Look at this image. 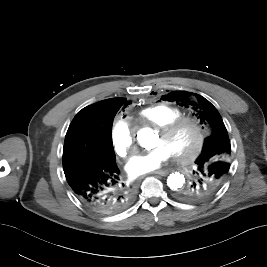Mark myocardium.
Listing matches in <instances>:
<instances>
[{
    "mask_svg": "<svg viewBox=\"0 0 267 267\" xmlns=\"http://www.w3.org/2000/svg\"><path fill=\"white\" fill-rule=\"evenodd\" d=\"M184 124H190L195 128L196 140L192 149L189 152L185 154L181 153L172 154L173 157L180 163H188L194 160L203 149L206 138V132L202 127L200 121L192 116H181L174 120L169 121L168 123L164 124L158 129V132L162 137H168L175 131H177Z\"/></svg>",
    "mask_w": 267,
    "mask_h": 267,
    "instance_id": "obj_1",
    "label": "myocardium"
}]
</instances>
